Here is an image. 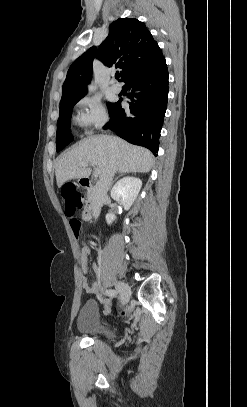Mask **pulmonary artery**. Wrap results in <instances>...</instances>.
<instances>
[{
	"label": "pulmonary artery",
	"mask_w": 247,
	"mask_h": 407,
	"mask_svg": "<svg viewBox=\"0 0 247 407\" xmlns=\"http://www.w3.org/2000/svg\"><path fill=\"white\" fill-rule=\"evenodd\" d=\"M112 90L116 93H119L121 91V85L119 83H116L115 81H113Z\"/></svg>",
	"instance_id": "e3ab8cb5"
}]
</instances>
